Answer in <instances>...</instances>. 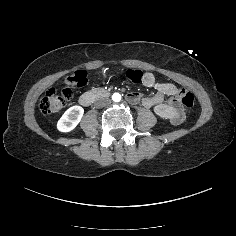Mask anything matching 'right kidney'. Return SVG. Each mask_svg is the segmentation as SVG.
<instances>
[{"label": "right kidney", "instance_id": "obj_1", "mask_svg": "<svg viewBox=\"0 0 236 236\" xmlns=\"http://www.w3.org/2000/svg\"><path fill=\"white\" fill-rule=\"evenodd\" d=\"M84 114V109L81 106H72L65 111L57 123V129L61 132H69L73 130Z\"/></svg>", "mask_w": 236, "mask_h": 236}]
</instances>
